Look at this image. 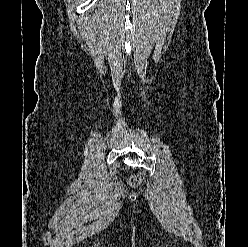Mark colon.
I'll use <instances>...</instances> for the list:
<instances>
[{"mask_svg": "<svg viewBox=\"0 0 248 247\" xmlns=\"http://www.w3.org/2000/svg\"><path fill=\"white\" fill-rule=\"evenodd\" d=\"M143 180V176L141 174L131 175L127 182L130 186L136 187L138 186Z\"/></svg>", "mask_w": 248, "mask_h": 247, "instance_id": "1", "label": "colon"}]
</instances>
